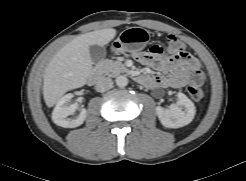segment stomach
Returning a JSON list of instances; mask_svg holds the SVG:
<instances>
[{
  "mask_svg": "<svg viewBox=\"0 0 246 181\" xmlns=\"http://www.w3.org/2000/svg\"><path fill=\"white\" fill-rule=\"evenodd\" d=\"M150 33L141 27H130L122 31L119 37L112 43L114 53L138 52L148 44Z\"/></svg>",
  "mask_w": 246,
  "mask_h": 181,
  "instance_id": "obj_1",
  "label": "stomach"
}]
</instances>
